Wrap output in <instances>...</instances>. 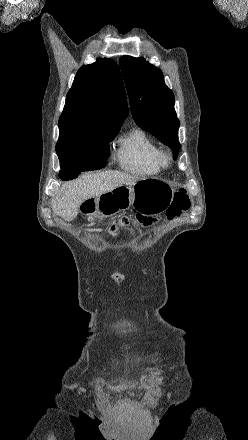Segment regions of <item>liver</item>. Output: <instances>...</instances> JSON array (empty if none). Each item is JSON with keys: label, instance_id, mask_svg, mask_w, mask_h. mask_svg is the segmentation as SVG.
Segmentation results:
<instances>
[{"label": "liver", "instance_id": "1", "mask_svg": "<svg viewBox=\"0 0 248 440\" xmlns=\"http://www.w3.org/2000/svg\"><path fill=\"white\" fill-rule=\"evenodd\" d=\"M138 181L139 178L119 171L83 175L65 185L63 195L52 200V210L55 215L71 221L77 217L81 204L86 200L122 185L133 186Z\"/></svg>", "mask_w": 248, "mask_h": 440}]
</instances>
